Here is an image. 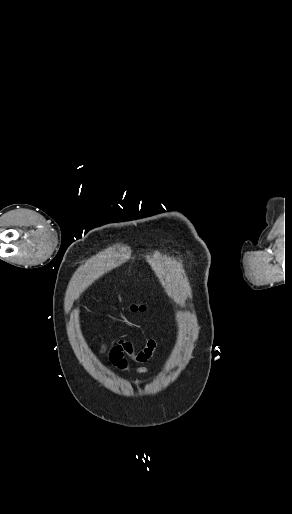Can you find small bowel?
I'll return each mask as SVG.
<instances>
[{
  "label": "small bowel",
  "instance_id": "c3829d8e",
  "mask_svg": "<svg viewBox=\"0 0 292 514\" xmlns=\"http://www.w3.org/2000/svg\"><path fill=\"white\" fill-rule=\"evenodd\" d=\"M157 347V341L153 338L148 339L145 347L141 350H136L132 343L126 340H118L111 347L102 346L101 351H108L110 356V367H115L120 371H125L128 368L129 361L144 364L148 362ZM149 369L145 366H139L135 369L138 374H145Z\"/></svg>",
  "mask_w": 292,
  "mask_h": 514
}]
</instances>
